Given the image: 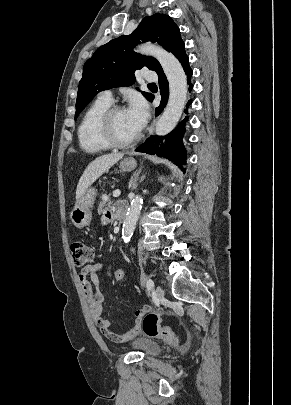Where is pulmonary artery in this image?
Here are the masks:
<instances>
[{"instance_id": "obj_1", "label": "pulmonary artery", "mask_w": 291, "mask_h": 405, "mask_svg": "<svg viewBox=\"0 0 291 405\" xmlns=\"http://www.w3.org/2000/svg\"><path fill=\"white\" fill-rule=\"evenodd\" d=\"M143 77H144V79L146 81H149V82H153V81H156L158 79L157 74L154 71H151V70H146L144 72V74H143ZM99 99H101V100H103L105 102H108V103H112L113 102V96H112L111 91H109V90L103 91L100 94Z\"/></svg>"}]
</instances>
